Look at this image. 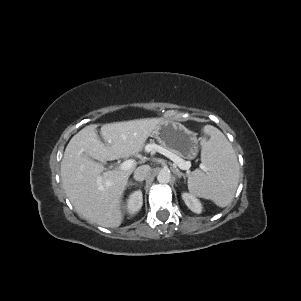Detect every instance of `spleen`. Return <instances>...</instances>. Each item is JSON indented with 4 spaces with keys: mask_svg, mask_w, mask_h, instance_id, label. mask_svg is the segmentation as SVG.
<instances>
[{
    "mask_svg": "<svg viewBox=\"0 0 301 301\" xmlns=\"http://www.w3.org/2000/svg\"><path fill=\"white\" fill-rule=\"evenodd\" d=\"M209 140L201 142V161L204 171L195 170L188 177L189 191L198 197L210 199L219 207H226L234 198L239 181L236 154L221 131L206 125Z\"/></svg>",
    "mask_w": 301,
    "mask_h": 301,
    "instance_id": "obj_1",
    "label": "spleen"
}]
</instances>
